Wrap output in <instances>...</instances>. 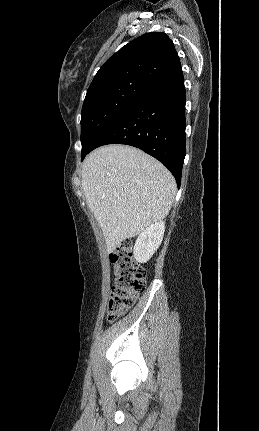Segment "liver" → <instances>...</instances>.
Returning a JSON list of instances; mask_svg holds the SVG:
<instances>
[{
	"mask_svg": "<svg viewBox=\"0 0 259 431\" xmlns=\"http://www.w3.org/2000/svg\"><path fill=\"white\" fill-rule=\"evenodd\" d=\"M82 189L105 238L107 252L164 219L175 179L159 161L127 145L94 150L82 166Z\"/></svg>",
	"mask_w": 259,
	"mask_h": 431,
	"instance_id": "6515ba94",
	"label": "liver"
}]
</instances>
